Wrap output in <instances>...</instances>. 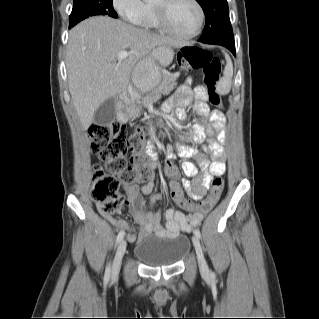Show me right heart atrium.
<instances>
[{"label":"right heart atrium","mask_w":319,"mask_h":319,"mask_svg":"<svg viewBox=\"0 0 319 319\" xmlns=\"http://www.w3.org/2000/svg\"><path fill=\"white\" fill-rule=\"evenodd\" d=\"M113 6L126 22L133 25H141L145 12L143 0H113Z\"/></svg>","instance_id":"right-heart-atrium-1"}]
</instances>
